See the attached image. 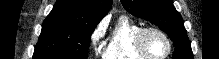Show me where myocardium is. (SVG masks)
<instances>
[{
	"label": "myocardium",
	"instance_id": "myocardium-1",
	"mask_svg": "<svg viewBox=\"0 0 219 59\" xmlns=\"http://www.w3.org/2000/svg\"><path fill=\"white\" fill-rule=\"evenodd\" d=\"M150 33H157L161 35L166 41L167 51L163 56L155 57L147 51L146 46H145V38ZM135 48L139 54H141L147 59H166L169 57V55L172 52L173 44H172V40L170 39L169 35L162 29L157 28V27H142L136 35Z\"/></svg>",
	"mask_w": 219,
	"mask_h": 59
}]
</instances>
